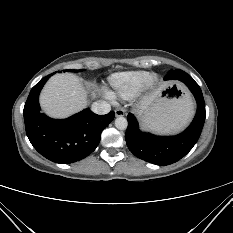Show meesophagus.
<instances>
[{
    "instance_id": "34e87169",
    "label": "esophagus",
    "mask_w": 233,
    "mask_h": 233,
    "mask_svg": "<svg viewBox=\"0 0 233 233\" xmlns=\"http://www.w3.org/2000/svg\"><path fill=\"white\" fill-rule=\"evenodd\" d=\"M125 115V110L123 108H117L115 110V116L116 117H121Z\"/></svg>"
}]
</instances>
